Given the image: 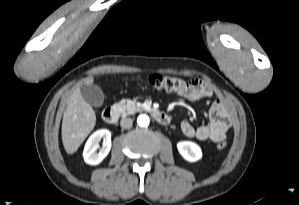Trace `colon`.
I'll return each instance as SVG.
<instances>
[{"mask_svg":"<svg viewBox=\"0 0 299 205\" xmlns=\"http://www.w3.org/2000/svg\"><path fill=\"white\" fill-rule=\"evenodd\" d=\"M147 83L156 90L178 92L184 90L190 82L178 76H163L160 74H154L148 77ZM226 146L227 142L225 140H221L217 144L219 149H224Z\"/></svg>","mask_w":299,"mask_h":205,"instance_id":"5ec220e1","label":"colon"}]
</instances>
